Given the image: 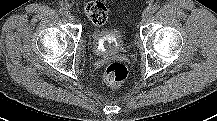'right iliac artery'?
<instances>
[{"label": "right iliac artery", "mask_w": 217, "mask_h": 121, "mask_svg": "<svg viewBox=\"0 0 217 121\" xmlns=\"http://www.w3.org/2000/svg\"><path fill=\"white\" fill-rule=\"evenodd\" d=\"M59 12L62 15H68L69 14V11L66 8H60Z\"/></svg>", "instance_id": "right-iliac-artery-1"}]
</instances>
